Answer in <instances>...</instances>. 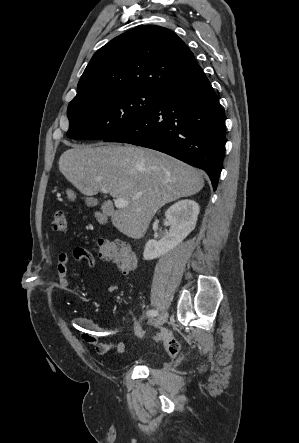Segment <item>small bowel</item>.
<instances>
[{
    "label": "small bowel",
    "mask_w": 299,
    "mask_h": 443,
    "mask_svg": "<svg viewBox=\"0 0 299 443\" xmlns=\"http://www.w3.org/2000/svg\"><path fill=\"white\" fill-rule=\"evenodd\" d=\"M73 257L76 261H86L87 266L90 270H95L97 266L96 259L87 249L75 248L73 251ZM70 262V255L67 252H61L58 256L57 263V275L59 287L63 290H68L73 287L74 291L78 290V286L73 284L68 275V265ZM74 324L79 330L82 339L91 344L94 350L99 355H105L109 352H114L116 354H123L125 352V343L121 340H116L114 342H102L99 340L103 336H112L111 334H117L120 332V328H107L99 325L95 321L83 317L77 316L74 318ZM132 331L134 334L142 338L144 337V330L141 325V318H134Z\"/></svg>",
    "instance_id": "small-bowel-1"
}]
</instances>
